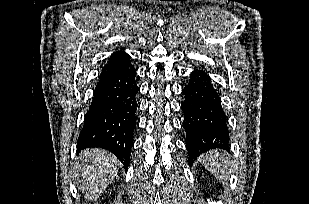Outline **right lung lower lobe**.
I'll return each instance as SVG.
<instances>
[{"mask_svg": "<svg viewBox=\"0 0 309 204\" xmlns=\"http://www.w3.org/2000/svg\"><path fill=\"white\" fill-rule=\"evenodd\" d=\"M136 70L128 65L99 77L84 118L77 151L100 147L111 151L127 169L136 126Z\"/></svg>", "mask_w": 309, "mask_h": 204, "instance_id": "right-lung-lower-lobe-1", "label": "right lung lower lobe"}]
</instances>
